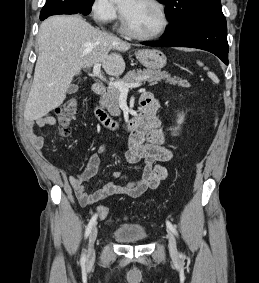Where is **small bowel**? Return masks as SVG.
Wrapping results in <instances>:
<instances>
[{
  "label": "small bowel",
  "instance_id": "c3829d8e",
  "mask_svg": "<svg viewBox=\"0 0 259 283\" xmlns=\"http://www.w3.org/2000/svg\"><path fill=\"white\" fill-rule=\"evenodd\" d=\"M142 98L150 100L151 105L159 108V100L150 93L143 94ZM56 119L48 114L43 117L30 120L25 125V133L35 148L42 153L45 145L44 138L34 132V126L46 127L55 126ZM166 133L162 128L160 119L156 113L152 115L148 123L138 132L134 133L123 149L125 159L131 164L143 162V172L139 179L117 184L115 181L120 178L119 172L111 174V180L99 190L88 193L86 185L97 173L100 156L104 154L108 146H101L98 151L88 156L87 166L77 175L68 178L69 184L74 190L79 202L84 205H92L112 195H126L131 198L141 196L147 190L156 189L160 182L168 177V170L163 163L170 161L174 153L166 146ZM48 171L54 175L55 170L48 167Z\"/></svg>",
  "mask_w": 259,
  "mask_h": 283
}]
</instances>
